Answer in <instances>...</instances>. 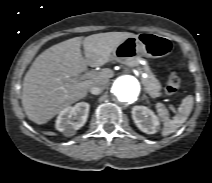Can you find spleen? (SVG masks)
<instances>
[{
  "label": "spleen",
  "instance_id": "obj_1",
  "mask_svg": "<svg viewBox=\"0 0 212 183\" xmlns=\"http://www.w3.org/2000/svg\"><path fill=\"white\" fill-rule=\"evenodd\" d=\"M194 98L191 95H188L182 100L181 105L178 108V114L175 115L172 119L169 118V113L164 104L157 103L156 109L157 112L163 121V130L162 135L168 136L177 131V129L186 122L188 116L190 115L193 108Z\"/></svg>",
  "mask_w": 212,
  "mask_h": 183
}]
</instances>
